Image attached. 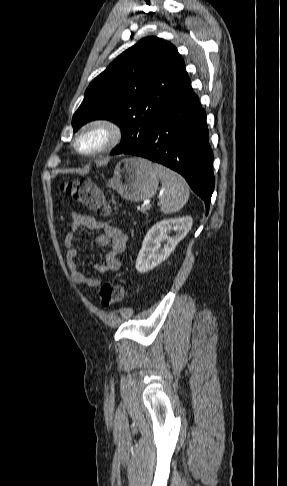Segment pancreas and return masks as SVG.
I'll return each mask as SVG.
<instances>
[{
  "mask_svg": "<svg viewBox=\"0 0 287 486\" xmlns=\"http://www.w3.org/2000/svg\"><path fill=\"white\" fill-rule=\"evenodd\" d=\"M141 212H142V213H145V212H146V209H145V208H142V209H141Z\"/></svg>",
  "mask_w": 287,
  "mask_h": 486,
  "instance_id": "cf45deb5",
  "label": "pancreas"
}]
</instances>
